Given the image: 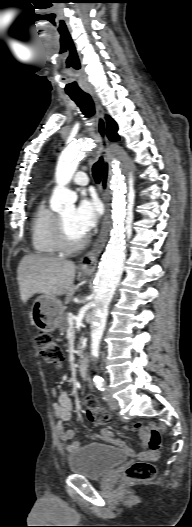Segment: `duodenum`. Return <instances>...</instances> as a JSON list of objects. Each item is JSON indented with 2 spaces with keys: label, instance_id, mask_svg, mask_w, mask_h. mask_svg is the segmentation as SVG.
Wrapping results in <instances>:
<instances>
[{
  "label": "duodenum",
  "instance_id": "duodenum-1",
  "mask_svg": "<svg viewBox=\"0 0 192 527\" xmlns=\"http://www.w3.org/2000/svg\"><path fill=\"white\" fill-rule=\"evenodd\" d=\"M88 368H89L88 361L85 359L81 360L78 365V371H79L80 376L84 379L88 375Z\"/></svg>",
  "mask_w": 192,
  "mask_h": 527
}]
</instances>
